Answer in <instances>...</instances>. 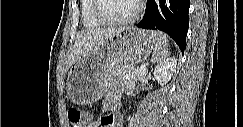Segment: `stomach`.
Segmentation results:
<instances>
[{
	"mask_svg": "<svg viewBox=\"0 0 243 127\" xmlns=\"http://www.w3.org/2000/svg\"><path fill=\"white\" fill-rule=\"evenodd\" d=\"M154 33L125 28L81 56L68 71L66 91L69 99L79 105L99 100L115 72L133 67L154 51Z\"/></svg>",
	"mask_w": 243,
	"mask_h": 127,
	"instance_id": "obj_1",
	"label": "stomach"
}]
</instances>
